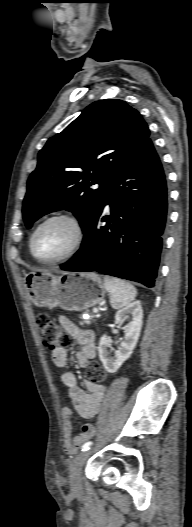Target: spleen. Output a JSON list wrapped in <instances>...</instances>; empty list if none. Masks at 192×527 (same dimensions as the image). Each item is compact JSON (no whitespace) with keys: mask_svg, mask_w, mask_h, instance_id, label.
I'll return each mask as SVG.
<instances>
[{"mask_svg":"<svg viewBox=\"0 0 192 527\" xmlns=\"http://www.w3.org/2000/svg\"><path fill=\"white\" fill-rule=\"evenodd\" d=\"M104 286L110 294V303L114 309L129 305L137 295L132 284L116 277L104 276Z\"/></svg>","mask_w":192,"mask_h":527,"instance_id":"1","label":"spleen"}]
</instances>
